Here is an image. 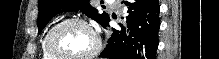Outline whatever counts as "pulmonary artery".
Wrapping results in <instances>:
<instances>
[{
    "label": "pulmonary artery",
    "instance_id": "obj_1",
    "mask_svg": "<svg viewBox=\"0 0 219 59\" xmlns=\"http://www.w3.org/2000/svg\"><path fill=\"white\" fill-rule=\"evenodd\" d=\"M108 3H110V4H114L115 3V1H107Z\"/></svg>",
    "mask_w": 219,
    "mask_h": 59
}]
</instances>
